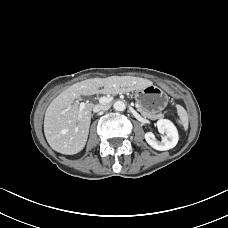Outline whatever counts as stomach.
<instances>
[{
	"label": "stomach",
	"mask_w": 228,
	"mask_h": 228,
	"mask_svg": "<svg viewBox=\"0 0 228 228\" xmlns=\"http://www.w3.org/2000/svg\"><path fill=\"white\" fill-rule=\"evenodd\" d=\"M135 100L136 104L145 110V113H157L166 107L168 96L161 88L150 85L138 89L135 92Z\"/></svg>",
	"instance_id": "1"
}]
</instances>
